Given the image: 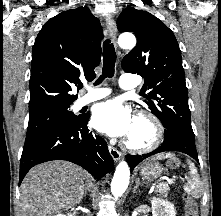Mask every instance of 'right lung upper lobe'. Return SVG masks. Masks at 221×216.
I'll return each instance as SVG.
<instances>
[{
    "label": "right lung upper lobe",
    "mask_w": 221,
    "mask_h": 216,
    "mask_svg": "<svg viewBox=\"0 0 221 216\" xmlns=\"http://www.w3.org/2000/svg\"><path fill=\"white\" fill-rule=\"evenodd\" d=\"M102 38L100 22L87 7L64 11L45 23L32 52L30 115L77 99L72 86L79 77L95 78Z\"/></svg>",
    "instance_id": "right-lung-upper-lobe-1"
}]
</instances>
